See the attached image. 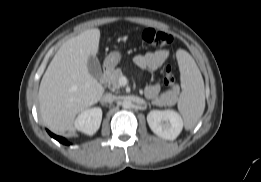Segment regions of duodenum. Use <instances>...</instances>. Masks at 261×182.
Listing matches in <instances>:
<instances>
[{"label":"duodenum","instance_id":"obj_1","mask_svg":"<svg viewBox=\"0 0 261 182\" xmlns=\"http://www.w3.org/2000/svg\"><path fill=\"white\" fill-rule=\"evenodd\" d=\"M108 72H109V67L105 66L103 68V74H102V78H101L102 82H105L107 80Z\"/></svg>","mask_w":261,"mask_h":182}]
</instances>
